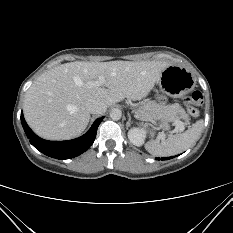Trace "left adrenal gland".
<instances>
[{
  "instance_id": "a2214340",
  "label": "left adrenal gland",
  "mask_w": 233,
  "mask_h": 233,
  "mask_svg": "<svg viewBox=\"0 0 233 233\" xmlns=\"http://www.w3.org/2000/svg\"><path fill=\"white\" fill-rule=\"evenodd\" d=\"M130 124H131V116H130V114L128 113V121H127V123H126V129H128V127L130 126Z\"/></svg>"
}]
</instances>
